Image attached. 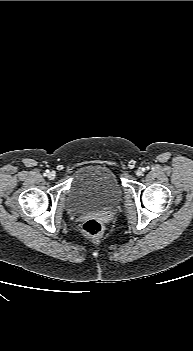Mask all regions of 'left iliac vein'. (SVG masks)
I'll use <instances>...</instances> for the list:
<instances>
[{"label": "left iliac vein", "instance_id": "left-iliac-vein-1", "mask_svg": "<svg viewBox=\"0 0 193 351\" xmlns=\"http://www.w3.org/2000/svg\"><path fill=\"white\" fill-rule=\"evenodd\" d=\"M143 174V170L142 169H138L137 171H136V175L137 176H141Z\"/></svg>", "mask_w": 193, "mask_h": 351}]
</instances>
